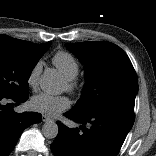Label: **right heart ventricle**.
Wrapping results in <instances>:
<instances>
[{
  "label": "right heart ventricle",
  "instance_id": "e07e8e85",
  "mask_svg": "<svg viewBox=\"0 0 156 156\" xmlns=\"http://www.w3.org/2000/svg\"><path fill=\"white\" fill-rule=\"evenodd\" d=\"M52 63L65 78H75L79 73L77 59L67 51H58L52 57Z\"/></svg>",
  "mask_w": 156,
  "mask_h": 156
}]
</instances>
